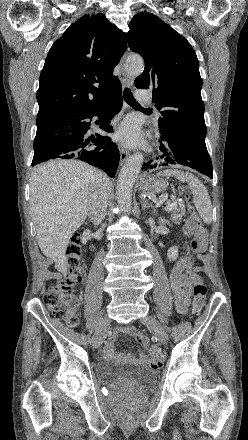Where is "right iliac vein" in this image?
Returning a JSON list of instances; mask_svg holds the SVG:
<instances>
[{
    "mask_svg": "<svg viewBox=\"0 0 248 440\" xmlns=\"http://www.w3.org/2000/svg\"><path fill=\"white\" fill-rule=\"evenodd\" d=\"M109 325H110L109 317L107 315L103 316L93 336V346L95 348L101 346L105 338L106 332L109 328Z\"/></svg>",
    "mask_w": 248,
    "mask_h": 440,
    "instance_id": "1",
    "label": "right iliac vein"
}]
</instances>
